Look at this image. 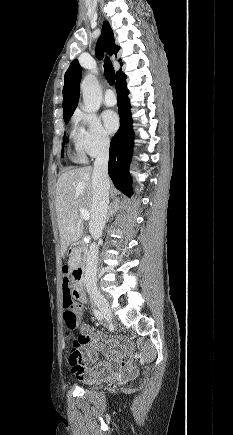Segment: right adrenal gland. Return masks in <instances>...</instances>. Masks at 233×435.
<instances>
[{
  "mask_svg": "<svg viewBox=\"0 0 233 435\" xmlns=\"http://www.w3.org/2000/svg\"><path fill=\"white\" fill-rule=\"evenodd\" d=\"M117 210H118V207H115L114 205L109 206L107 221L109 220L110 217L115 216Z\"/></svg>",
  "mask_w": 233,
  "mask_h": 435,
  "instance_id": "obj_1",
  "label": "right adrenal gland"
}]
</instances>
